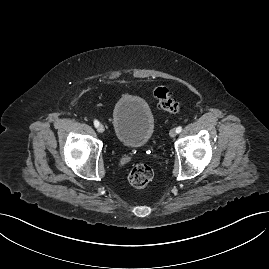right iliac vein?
<instances>
[{
	"mask_svg": "<svg viewBox=\"0 0 269 269\" xmlns=\"http://www.w3.org/2000/svg\"><path fill=\"white\" fill-rule=\"evenodd\" d=\"M97 131H98L99 133H103V132L105 131L104 126H103L102 124H99V126L97 127Z\"/></svg>",
	"mask_w": 269,
	"mask_h": 269,
	"instance_id": "right-iliac-vein-1",
	"label": "right iliac vein"
}]
</instances>
